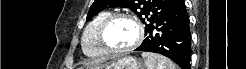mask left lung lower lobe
I'll return each instance as SVG.
<instances>
[{"instance_id":"1","label":"left lung lower lobe","mask_w":246,"mask_h":69,"mask_svg":"<svg viewBox=\"0 0 246 69\" xmlns=\"http://www.w3.org/2000/svg\"><path fill=\"white\" fill-rule=\"evenodd\" d=\"M145 36L136 51L162 54L177 63L181 69H189L191 34L183 0H176L145 30Z\"/></svg>"}]
</instances>
